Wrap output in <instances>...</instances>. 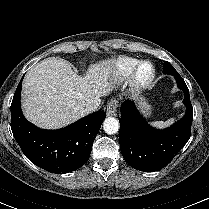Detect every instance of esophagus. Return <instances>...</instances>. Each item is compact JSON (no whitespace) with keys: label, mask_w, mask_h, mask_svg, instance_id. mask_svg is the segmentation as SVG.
Segmentation results:
<instances>
[{"label":"esophagus","mask_w":209,"mask_h":209,"mask_svg":"<svg viewBox=\"0 0 209 209\" xmlns=\"http://www.w3.org/2000/svg\"><path fill=\"white\" fill-rule=\"evenodd\" d=\"M118 102L116 100H111L106 109V113L108 116H115L117 112Z\"/></svg>","instance_id":"obj_1"}]
</instances>
